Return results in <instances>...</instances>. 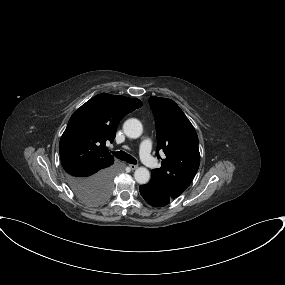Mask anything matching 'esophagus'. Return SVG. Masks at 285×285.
<instances>
[{"mask_svg":"<svg viewBox=\"0 0 285 285\" xmlns=\"http://www.w3.org/2000/svg\"><path fill=\"white\" fill-rule=\"evenodd\" d=\"M129 167H130V169L135 170V169H137L138 166L135 164H129Z\"/></svg>","mask_w":285,"mask_h":285,"instance_id":"esophagus-1","label":"esophagus"}]
</instances>
